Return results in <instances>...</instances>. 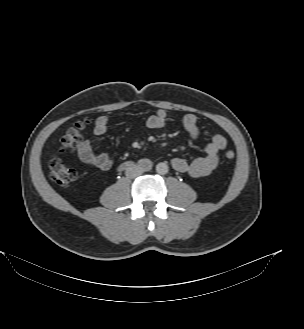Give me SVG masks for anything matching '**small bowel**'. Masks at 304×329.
<instances>
[{"label":"small bowel","instance_id":"c3829d8e","mask_svg":"<svg viewBox=\"0 0 304 329\" xmlns=\"http://www.w3.org/2000/svg\"><path fill=\"white\" fill-rule=\"evenodd\" d=\"M168 115L165 110H158L148 117L146 126L149 129H159L165 126ZM110 119L100 116L95 121L94 134L101 136L108 130ZM182 124L192 139L199 138L200 130L197 117L194 114H186L182 118ZM227 140L224 136L217 134L206 144L205 154L201 158L187 161L176 157L172 159V167L180 173L192 178H202L212 173L218 166L220 151L226 146ZM78 158L87 165L101 170H109L113 166V160L104 152H94L89 140L80 142L77 146Z\"/></svg>","mask_w":304,"mask_h":329}]
</instances>
